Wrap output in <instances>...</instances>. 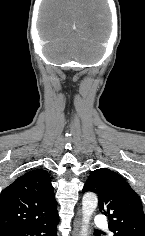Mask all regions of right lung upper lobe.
<instances>
[{
  "label": "right lung upper lobe",
  "instance_id": "cb5924a9",
  "mask_svg": "<svg viewBox=\"0 0 145 236\" xmlns=\"http://www.w3.org/2000/svg\"><path fill=\"white\" fill-rule=\"evenodd\" d=\"M58 216L48 172L24 174L0 195V233L33 227Z\"/></svg>",
  "mask_w": 145,
  "mask_h": 236
}]
</instances>
